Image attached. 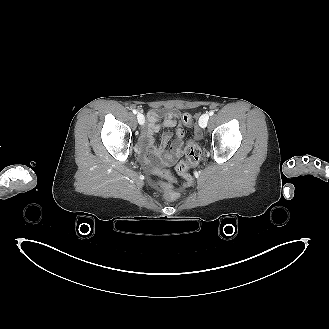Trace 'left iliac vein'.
<instances>
[{
  "mask_svg": "<svg viewBox=\"0 0 329 329\" xmlns=\"http://www.w3.org/2000/svg\"><path fill=\"white\" fill-rule=\"evenodd\" d=\"M208 120H209V115L207 113L203 114L200 118H199V126L201 128H205L208 124Z\"/></svg>",
  "mask_w": 329,
  "mask_h": 329,
  "instance_id": "1",
  "label": "left iliac vein"
}]
</instances>
